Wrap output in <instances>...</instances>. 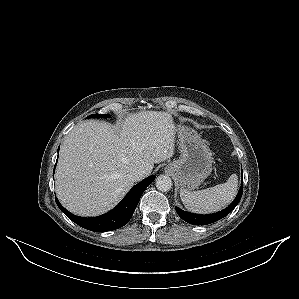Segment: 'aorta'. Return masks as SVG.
I'll list each match as a JSON object with an SVG mask.
<instances>
[{
    "label": "aorta",
    "instance_id": "obj_1",
    "mask_svg": "<svg viewBox=\"0 0 299 299\" xmlns=\"http://www.w3.org/2000/svg\"><path fill=\"white\" fill-rule=\"evenodd\" d=\"M156 187L159 191L167 192L172 188V180L167 175H160L156 178Z\"/></svg>",
    "mask_w": 299,
    "mask_h": 299
}]
</instances>
